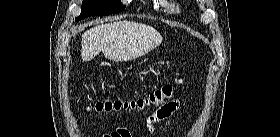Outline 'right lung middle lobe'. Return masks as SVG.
I'll use <instances>...</instances> for the list:
<instances>
[{"label": "right lung middle lobe", "mask_w": 280, "mask_h": 137, "mask_svg": "<svg viewBox=\"0 0 280 137\" xmlns=\"http://www.w3.org/2000/svg\"><path fill=\"white\" fill-rule=\"evenodd\" d=\"M125 8L120 0H83L82 11L75 21L88 16H108Z\"/></svg>", "instance_id": "right-lung-middle-lobe-1"}]
</instances>
